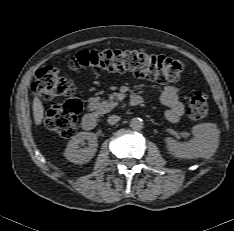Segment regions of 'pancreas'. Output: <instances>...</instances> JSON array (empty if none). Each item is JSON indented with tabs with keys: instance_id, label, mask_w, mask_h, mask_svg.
<instances>
[{
	"instance_id": "obj_1",
	"label": "pancreas",
	"mask_w": 234,
	"mask_h": 231,
	"mask_svg": "<svg viewBox=\"0 0 234 231\" xmlns=\"http://www.w3.org/2000/svg\"><path fill=\"white\" fill-rule=\"evenodd\" d=\"M118 103L114 101H99V97H92L89 99V109L95 111L98 115L108 113L113 109Z\"/></svg>"
}]
</instances>
